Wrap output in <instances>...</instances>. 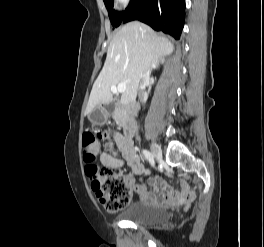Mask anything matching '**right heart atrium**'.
Returning a JSON list of instances; mask_svg holds the SVG:
<instances>
[{"mask_svg": "<svg viewBox=\"0 0 264 247\" xmlns=\"http://www.w3.org/2000/svg\"><path fill=\"white\" fill-rule=\"evenodd\" d=\"M116 1L122 5H127L130 2V0H116Z\"/></svg>", "mask_w": 264, "mask_h": 247, "instance_id": "d8ad5b80", "label": "right heart atrium"}]
</instances>
